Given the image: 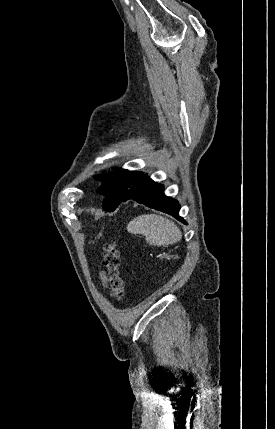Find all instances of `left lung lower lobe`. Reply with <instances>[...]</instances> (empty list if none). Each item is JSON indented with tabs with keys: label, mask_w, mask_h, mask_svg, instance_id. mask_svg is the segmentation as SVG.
I'll return each mask as SVG.
<instances>
[{
	"label": "left lung lower lobe",
	"mask_w": 275,
	"mask_h": 429,
	"mask_svg": "<svg viewBox=\"0 0 275 429\" xmlns=\"http://www.w3.org/2000/svg\"><path fill=\"white\" fill-rule=\"evenodd\" d=\"M163 192L164 188L162 185L154 182L147 174H143L130 186L122 197L121 202L134 200L150 208L168 213L186 224L178 215L180 209L178 202L170 197H166Z\"/></svg>",
	"instance_id": "obj_1"
}]
</instances>
